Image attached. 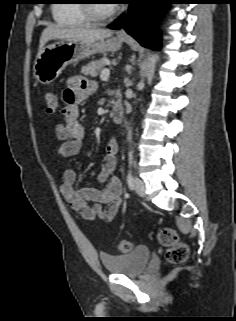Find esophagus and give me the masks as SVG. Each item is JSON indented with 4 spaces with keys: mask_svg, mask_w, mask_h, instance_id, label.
Instances as JSON below:
<instances>
[{
    "mask_svg": "<svg viewBox=\"0 0 236 321\" xmlns=\"http://www.w3.org/2000/svg\"><path fill=\"white\" fill-rule=\"evenodd\" d=\"M119 37H124L125 36V32L124 31H121L119 34H118Z\"/></svg>",
    "mask_w": 236,
    "mask_h": 321,
    "instance_id": "obj_1",
    "label": "esophagus"
}]
</instances>
